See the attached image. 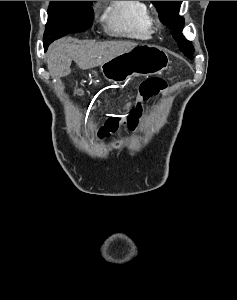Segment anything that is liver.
Instances as JSON below:
<instances>
[{"instance_id": "liver-1", "label": "liver", "mask_w": 237, "mask_h": 300, "mask_svg": "<svg viewBox=\"0 0 237 300\" xmlns=\"http://www.w3.org/2000/svg\"><path fill=\"white\" fill-rule=\"evenodd\" d=\"M72 41L74 39H60L50 45L47 51V65L53 77L69 75L72 61H75L79 69L86 71L137 47V43L131 41H104V43L82 41L78 45Z\"/></svg>"}]
</instances>
